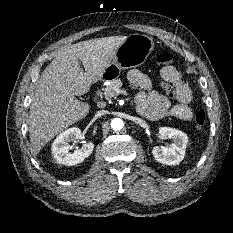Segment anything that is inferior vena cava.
<instances>
[{"label":"inferior vena cava","mask_w":233,"mask_h":233,"mask_svg":"<svg viewBox=\"0 0 233 233\" xmlns=\"http://www.w3.org/2000/svg\"><path fill=\"white\" fill-rule=\"evenodd\" d=\"M105 113H106L105 110H100V111L97 112V116H102V115H104Z\"/></svg>","instance_id":"obj_1"}]
</instances>
